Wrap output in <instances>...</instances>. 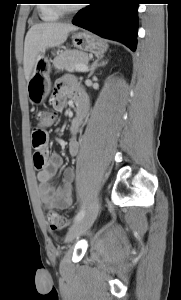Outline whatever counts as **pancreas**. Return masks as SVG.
I'll use <instances>...</instances> for the list:
<instances>
[{"mask_svg": "<svg viewBox=\"0 0 181 300\" xmlns=\"http://www.w3.org/2000/svg\"><path fill=\"white\" fill-rule=\"evenodd\" d=\"M88 55L77 50H66L59 53L53 60V65L58 70L73 72L78 64L86 65Z\"/></svg>", "mask_w": 181, "mask_h": 300, "instance_id": "obj_1", "label": "pancreas"}]
</instances>
